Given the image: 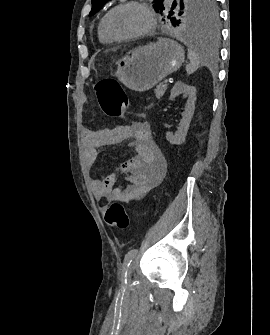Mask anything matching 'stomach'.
<instances>
[{
  "instance_id": "stomach-1",
  "label": "stomach",
  "mask_w": 270,
  "mask_h": 335,
  "mask_svg": "<svg viewBox=\"0 0 270 335\" xmlns=\"http://www.w3.org/2000/svg\"><path fill=\"white\" fill-rule=\"evenodd\" d=\"M183 62L184 50L178 42L157 38V42L126 52L117 62L115 76L129 90L146 92L179 70Z\"/></svg>"
}]
</instances>
